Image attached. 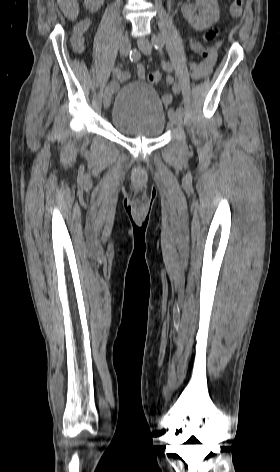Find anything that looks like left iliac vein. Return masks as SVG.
Wrapping results in <instances>:
<instances>
[{
	"instance_id": "1",
	"label": "left iliac vein",
	"mask_w": 280,
	"mask_h": 472,
	"mask_svg": "<svg viewBox=\"0 0 280 472\" xmlns=\"http://www.w3.org/2000/svg\"><path fill=\"white\" fill-rule=\"evenodd\" d=\"M137 45H138L139 49L141 50V52L144 53L145 55H150L151 54L152 45H151V43L149 42L148 39H146V38L138 39ZM169 118H170L171 122L174 125H176L178 128L181 127V125H182V115H181L180 112H178L177 110H174V109H170L169 110Z\"/></svg>"
}]
</instances>
